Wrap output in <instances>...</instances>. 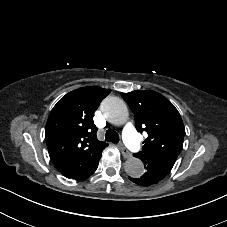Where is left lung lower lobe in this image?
I'll return each mask as SVG.
<instances>
[{"label":"left lung lower lobe","mask_w":227,"mask_h":227,"mask_svg":"<svg viewBox=\"0 0 227 227\" xmlns=\"http://www.w3.org/2000/svg\"><path fill=\"white\" fill-rule=\"evenodd\" d=\"M146 170L147 171L144 173L142 177L140 178L129 177V179L138 185L150 186L152 184L158 183L160 180L166 177V175H164L154 167H146Z\"/></svg>","instance_id":"obj_1"}]
</instances>
